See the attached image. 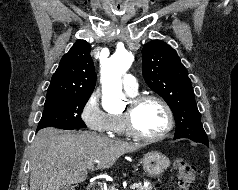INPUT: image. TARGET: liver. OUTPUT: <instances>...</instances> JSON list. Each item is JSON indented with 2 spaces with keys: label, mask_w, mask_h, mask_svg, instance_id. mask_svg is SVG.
I'll use <instances>...</instances> for the list:
<instances>
[{
  "label": "liver",
  "mask_w": 238,
  "mask_h": 190,
  "mask_svg": "<svg viewBox=\"0 0 238 190\" xmlns=\"http://www.w3.org/2000/svg\"><path fill=\"white\" fill-rule=\"evenodd\" d=\"M142 148L90 132L40 130L31 146L30 190H61L82 183L88 169H108L126 153ZM98 161V162H96Z\"/></svg>",
  "instance_id": "6515ba94"
}]
</instances>
